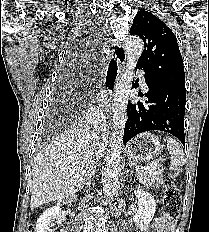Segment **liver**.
I'll return each mask as SVG.
<instances>
[{
    "label": "liver",
    "mask_w": 209,
    "mask_h": 232,
    "mask_svg": "<svg viewBox=\"0 0 209 232\" xmlns=\"http://www.w3.org/2000/svg\"><path fill=\"white\" fill-rule=\"evenodd\" d=\"M101 151L88 126H75L56 137L34 160L30 208L75 195Z\"/></svg>",
    "instance_id": "obj_1"
}]
</instances>
